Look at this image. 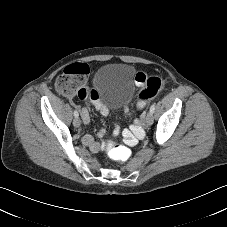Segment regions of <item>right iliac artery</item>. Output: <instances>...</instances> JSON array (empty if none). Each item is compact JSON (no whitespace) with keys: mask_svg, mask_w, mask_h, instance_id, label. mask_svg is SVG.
Masks as SVG:
<instances>
[{"mask_svg":"<svg viewBox=\"0 0 227 227\" xmlns=\"http://www.w3.org/2000/svg\"><path fill=\"white\" fill-rule=\"evenodd\" d=\"M74 116H75V118H78L79 114H78L77 110L74 111Z\"/></svg>","mask_w":227,"mask_h":227,"instance_id":"right-iliac-artery-1","label":"right iliac artery"}]
</instances>
